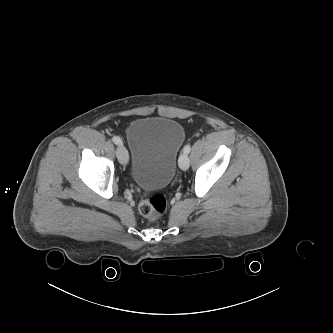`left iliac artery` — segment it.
I'll return each instance as SVG.
<instances>
[{"mask_svg":"<svg viewBox=\"0 0 333 333\" xmlns=\"http://www.w3.org/2000/svg\"><path fill=\"white\" fill-rule=\"evenodd\" d=\"M190 150H191V145H190V144H187V145L184 147L183 152L186 153V154H188V153L190 152Z\"/></svg>","mask_w":333,"mask_h":333,"instance_id":"1","label":"left iliac artery"}]
</instances>
